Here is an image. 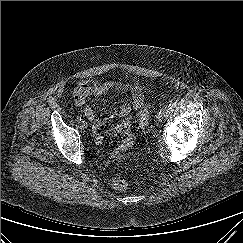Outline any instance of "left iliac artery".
<instances>
[{
    "mask_svg": "<svg viewBox=\"0 0 243 243\" xmlns=\"http://www.w3.org/2000/svg\"><path fill=\"white\" fill-rule=\"evenodd\" d=\"M162 114H163L162 111H160V112L158 113V115H159L160 117L162 116Z\"/></svg>",
    "mask_w": 243,
    "mask_h": 243,
    "instance_id": "1",
    "label": "left iliac artery"
}]
</instances>
